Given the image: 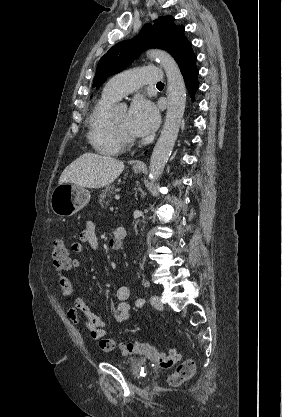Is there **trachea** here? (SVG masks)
I'll return each mask as SVG.
<instances>
[{
    "label": "trachea",
    "mask_w": 282,
    "mask_h": 417,
    "mask_svg": "<svg viewBox=\"0 0 282 417\" xmlns=\"http://www.w3.org/2000/svg\"><path fill=\"white\" fill-rule=\"evenodd\" d=\"M157 85H164V83L163 82H158Z\"/></svg>",
    "instance_id": "trachea-1"
}]
</instances>
